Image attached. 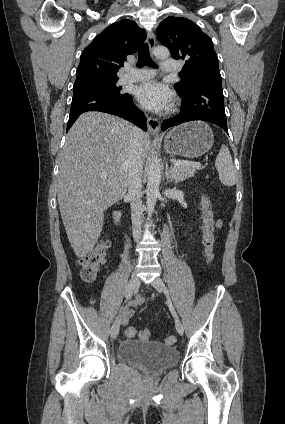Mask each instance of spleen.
<instances>
[{"instance_id":"1","label":"spleen","mask_w":285,"mask_h":424,"mask_svg":"<svg viewBox=\"0 0 285 424\" xmlns=\"http://www.w3.org/2000/svg\"><path fill=\"white\" fill-rule=\"evenodd\" d=\"M215 167L219 174L220 182L228 187L236 184L237 172L226 145H222L215 160Z\"/></svg>"}]
</instances>
